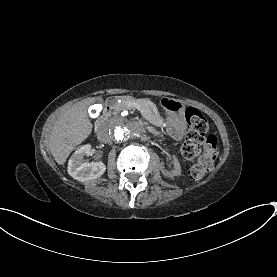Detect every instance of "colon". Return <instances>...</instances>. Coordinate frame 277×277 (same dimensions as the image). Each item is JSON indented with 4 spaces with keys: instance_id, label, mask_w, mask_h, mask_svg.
Returning <instances> with one entry per match:
<instances>
[{
    "instance_id": "obj_1",
    "label": "colon",
    "mask_w": 277,
    "mask_h": 277,
    "mask_svg": "<svg viewBox=\"0 0 277 277\" xmlns=\"http://www.w3.org/2000/svg\"><path fill=\"white\" fill-rule=\"evenodd\" d=\"M188 132L180 153L185 160L194 161L189 169L192 179H201L211 168L216 152L217 138L207 135L209 123L197 109L188 108L185 112Z\"/></svg>"
}]
</instances>
